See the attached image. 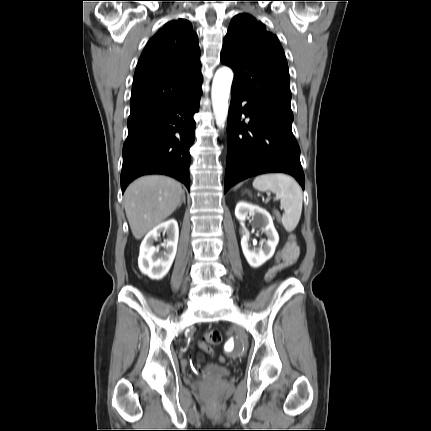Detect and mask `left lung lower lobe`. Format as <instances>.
<instances>
[{
    "mask_svg": "<svg viewBox=\"0 0 431 431\" xmlns=\"http://www.w3.org/2000/svg\"><path fill=\"white\" fill-rule=\"evenodd\" d=\"M243 101H247L244 107ZM242 115L250 118L248 124L240 121ZM292 121L293 114L251 99L232 85L224 193L248 177L271 172L294 176L304 189L300 149L292 133Z\"/></svg>",
    "mask_w": 431,
    "mask_h": 431,
    "instance_id": "obj_1",
    "label": "left lung lower lobe"
}]
</instances>
